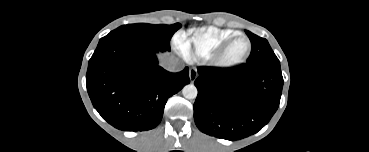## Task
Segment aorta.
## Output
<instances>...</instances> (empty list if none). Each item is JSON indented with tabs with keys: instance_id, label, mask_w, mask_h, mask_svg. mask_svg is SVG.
<instances>
[{
	"instance_id": "762f6f07",
	"label": "aorta",
	"mask_w": 369,
	"mask_h": 152,
	"mask_svg": "<svg viewBox=\"0 0 369 152\" xmlns=\"http://www.w3.org/2000/svg\"><path fill=\"white\" fill-rule=\"evenodd\" d=\"M182 94L186 99H195L197 97L198 91L195 85L188 84L183 87Z\"/></svg>"
}]
</instances>
